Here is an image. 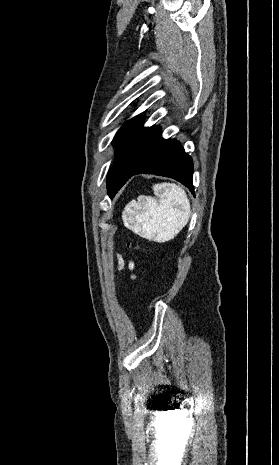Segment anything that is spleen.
<instances>
[{
	"mask_svg": "<svg viewBox=\"0 0 279 465\" xmlns=\"http://www.w3.org/2000/svg\"><path fill=\"white\" fill-rule=\"evenodd\" d=\"M158 200L139 196L122 213L124 226L139 236L162 243L173 239L188 223L191 206L184 189L174 183L153 186Z\"/></svg>",
	"mask_w": 279,
	"mask_h": 465,
	"instance_id": "3e777b00",
	"label": "spleen"
}]
</instances>
